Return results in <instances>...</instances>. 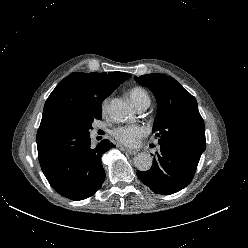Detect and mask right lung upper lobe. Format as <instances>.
Segmentation results:
<instances>
[{
	"label": "right lung upper lobe",
	"instance_id": "right-lung-upper-lobe-1",
	"mask_svg": "<svg viewBox=\"0 0 248 248\" xmlns=\"http://www.w3.org/2000/svg\"><path fill=\"white\" fill-rule=\"evenodd\" d=\"M131 75L112 73H71L49 95L44 105L37 142L101 108V103Z\"/></svg>",
	"mask_w": 248,
	"mask_h": 248
}]
</instances>
